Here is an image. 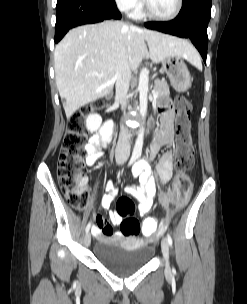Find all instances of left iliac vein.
Returning <instances> with one entry per match:
<instances>
[{
	"label": "left iliac vein",
	"mask_w": 247,
	"mask_h": 304,
	"mask_svg": "<svg viewBox=\"0 0 247 304\" xmlns=\"http://www.w3.org/2000/svg\"><path fill=\"white\" fill-rule=\"evenodd\" d=\"M161 249H162V254L165 260V271L166 273H170V266H169V244L166 238H163L161 241Z\"/></svg>",
	"instance_id": "left-iliac-vein-1"
}]
</instances>
